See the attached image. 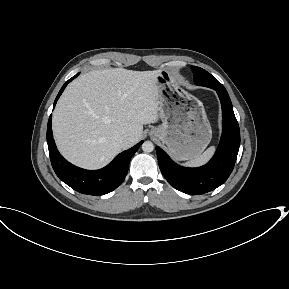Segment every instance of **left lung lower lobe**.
<instances>
[{
	"mask_svg": "<svg viewBox=\"0 0 289 289\" xmlns=\"http://www.w3.org/2000/svg\"><path fill=\"white\" fill-rule=\"evenodd\" d=\"M222 105L223 131L213 158L199 168H185L174 163L156 147L158 163L167 181L187 194H204L222 185L231 174L240 146V130L226 89H215Z\"/></svg>",
	"mask_w": 289,
	"mask_h": 289,
	"instance_id": "0a47b994",
	"label": "left lung lower lobe"
}]
</instances>
